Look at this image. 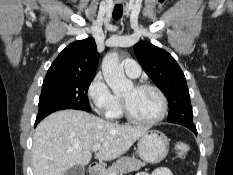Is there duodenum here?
<instances>
[{"label":"duodenum","instance_id":"obj_1","mask_svg":"<svg viewBox=\"0 0 233 175\" xmlns=\"http://www.w3.org/2000/svg\"><path fill=\"white\" fill-rule=\"evenodd\" d=\"M88 173H89V175H98L99 169H98L97 165L91 164L88 167Z\"/></svg>","mask_w":233,"mask_h":175}]
</instances>
